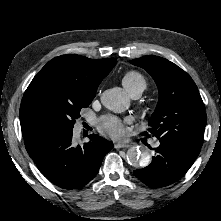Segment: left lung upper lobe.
<instances>
[{
	"label": "left lung upper lobe",
	"instance_id": "obj_1",
	"mask_svg": "<svg viewBox=\"0 0 221 221\" xmlns=\"http://www.w3.org/2000/svg\"><path fill=\"white\" fill-rule=\"evenodd\" d=\"M155 80L159 101L148 125L160 143L198 156L207 122L205 106L192 78L174 63L148 55L131 60Z\"/></svg>",
	"mask_w": 221,
	"mask_h": 221
}]
</instances>
